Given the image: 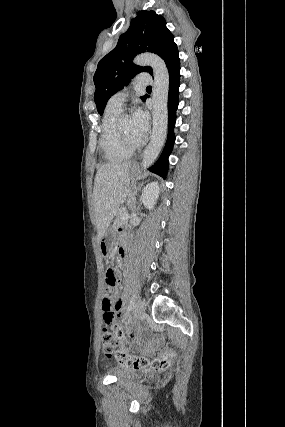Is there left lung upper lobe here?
<instances>
[{
	"instance_id": "5c2ea615",
	"label": "left lung upper lobe",
	"mask_w": 285,
	"mask_h": 427,
	"mask_svg": "<svg viewBox=\"0 0 285 427\" xmlns=\"http://www.w3.org/2000/svg\"><path fill=\"white\" fill-rule=\"evenodd\" d=\"M146 51L159 55L167 66L178 54L174 36L167 29L165 19L154 11H139L127 32L120 36L116 47L99 61L94 74V100L100 115L109 98L123 89L136 74L143 71L153 74L150 67L136 66L132 62L136 54ZM141 98L145 101L147 96Z\"/></svg>"
}]
</instances>
